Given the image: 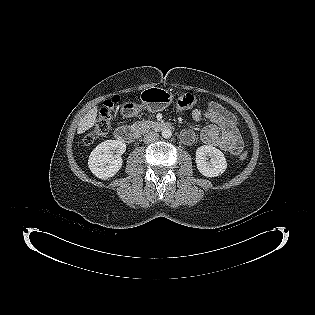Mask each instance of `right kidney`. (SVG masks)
<instances>
[{"mask_svg": "<svg viewBox=\"0 0 315 315\" xmlns=\"http://www.w3.org/2000/svg\"><path fill=\"white\" fill-rule=\"evenodd\" d=\"M126 151V144L119 140H106L90 154L88 166L100 179L113 177L122 167L121 155ZM116 153V154H115Z\"/></svg>", "mask_w": 315, "mask_h": 315, "instance_id": "ca27d5eb", "label": "right kidney"}]
</instances>
